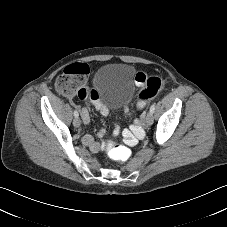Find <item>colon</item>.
Listing matches in <instances>:
<instances>
[{
	"label": "colon",
	"mask_w": 227,
	"mask_h": 227,
	"mask_svg": "<svg viewBox=\"0 0 227 227\" xmlns=\"http://www.w3.org/2000/svg\"><path fill=\"white\" fill-rule=\"evenodd\" d=\"M79 73L76 66H70L57 80L58 88L67 95L77 94L78 98L85 99L86 94L84 89L79 88ZM135 83L139 89L136 95V101L139 109H143L147 103L155 98L162 88V79L159 76H146L139 72L135 75ZM136 140V135H126L125 143L130 146ZM108 155L112 161L116 163H126L130 156V149L128 147L112 148L109 144H103Z\"/></svg>",
	"instance_id": "5ec220e1"
}]
</instances>
